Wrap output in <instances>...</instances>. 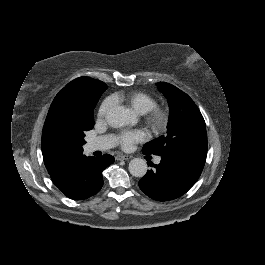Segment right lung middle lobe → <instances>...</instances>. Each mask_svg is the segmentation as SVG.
I'll list each match as a JSON object with an SVG mask.
<instances>
[{"mask_svg": "<svg viewBox=\"0 0 265 265\" xmlns=\"http://www.w3.org/2000/svg\"><path fill=\"white\" fill-rule=\"evenodd\" d=\"M107 86L83 91L69 101L60 121L55 140L58 146L70 154H81L85 132L94 127V108Z\"/></svg>", "mask_w": 265, "mask_h": 265, "instance_id": "right-lung-middle-lobe-1", "label": "right lung middle lobe"}]
</instances>
